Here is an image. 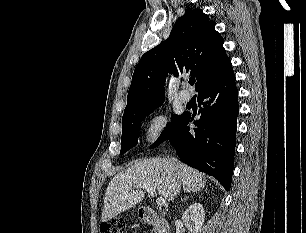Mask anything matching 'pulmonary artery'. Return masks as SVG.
I'll return each mask as SVG.
<instances>
[{
  "mask_svg": "<svg viewBox=\"0 0 306 233\" xmlns=\"http://www.w3.org/2000/svg\"><path fill=\"white\" fill-rule=\"evenodd\" d=\"M188 83L184 82L183 89L179 92V99L182 103L186 104L191 100V94L187 90Z\"/></svg>",
  "mask_w": 306,
  "mask_h": 233,
  "instance_id": "e3ab8cb5",
  "label": "pulmonary artery"
}]
</instances>
